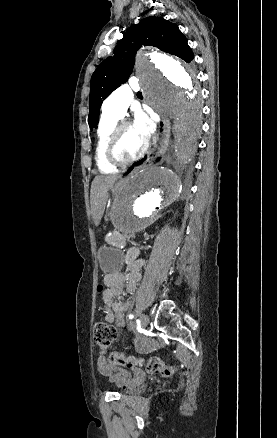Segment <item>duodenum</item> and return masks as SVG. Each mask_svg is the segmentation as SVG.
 <instances>
[{
	"instance_id": "1",
	"label": "duodenum",
	"mask_w": 277,
	"mask_h": 438,
	"mask_svg": "<svg viewBox=\"0 0 277 438\" xmlns=\"http://www.w3.org/2000/svg\"><path fill=\"white\" fill-rule=\"evenodd\" d=\"M133 255L131 254V253H127L125 256H124V262L125 263H127V264H130V263H132V261H133Z\"/></svg>"
}]
</instances>
